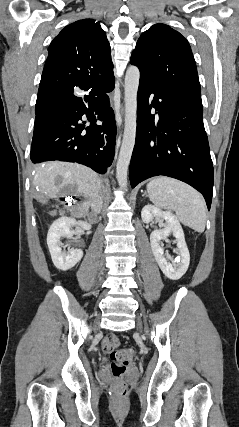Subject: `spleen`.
<instances>
[{
  "label": "spleen",
  "instance_id": "3e777b00",
  "mask_svg": "<svg viewBox=\"0 0 239 427\" xmlns=\"http://www.w3.org/2000/svg\"><path fill=\"white\" fill-rule=\"evenodd\" d=\"M147 191L156 207L175 211L182 224L197 232L205 230V201L195 189L173 178L161 176L147 184Z\"/></svg>",
  "mask_w": 239,
  "mask_h": 427
}]
</instances>
